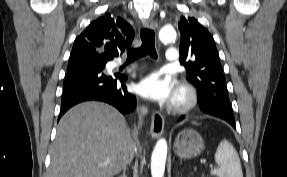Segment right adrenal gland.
<instances>
[{
  "mask_svg": "<svg viewBox=\"0 0 287 177\" xmlns=\"http://www.w3.org/2000/svg\"><path fill=\"white\" fill-rule=\"evenodd\" d=\"M126 170H127V167H125V168L123 169V174H122L121 176H119V177H127V176H126Z\"/></svg>",
  "mask_w": 287,
  "mask_h": 177,
  "instance_id": "right-adrenal-gland-1",
  "label": "right adrenal gland"
}]
</instances>
